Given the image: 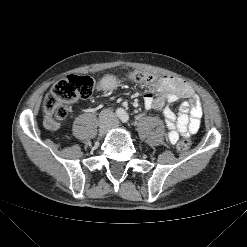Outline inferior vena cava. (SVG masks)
<instances>
[{"mask_svg":"<svg viewBox=\"0 0 247 247\" xmlns=\"http://www.w3.org/2000/svg\"><path fill=\"white\" fill-rule=\"evenodd\" d=\"M99 117H100L101 122L105 124H112L116 121V115L110 109L102 110Z\"/></svg>","mask_w":247,"mask_h":247,"instance_id":"1","label":"inferior vena cava"}]
</instances>
